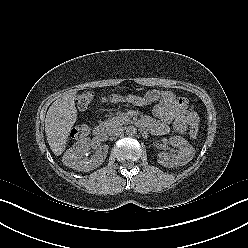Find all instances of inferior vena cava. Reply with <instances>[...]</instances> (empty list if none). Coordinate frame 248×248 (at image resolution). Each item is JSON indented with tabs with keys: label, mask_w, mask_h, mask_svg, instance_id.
I'll return each instance as SVG.
<instances>
[{
	"label": "inferior vena cava",
	"mask_w": 248,
	"mask_h": 248,
	"mask_svg": "<svg viewBox=\"0 0 248 248\" xmlns=\"http://www.w3.org/2000/svg\"><path fill=\"white\" fill-rule=\"evenodd\" d=\"M123 129L121 127L114 128L110 131V135L118 136L122 133Z\"/></svg>",
	"instance_id": "1"
}]
</instances>
